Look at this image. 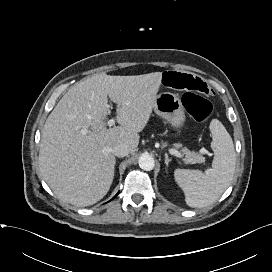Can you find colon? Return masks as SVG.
Segmentation results:
<instances>
[{"label": "colon", "mask_w": 272, "mask_h": 272, "mask_svg": "<svg viewBox=\"0 0 272 272\" xmlns=\"http://www.w3.org/2000/svg\"><path fill=\"white\" fill-rule=\"evenodd\" d=\"M182 101L189 115L198 122L207 120L213 109L209 99L199 94L186 92Z\"/></svg>", "instance_id": "obj_1"}]
</instances>
